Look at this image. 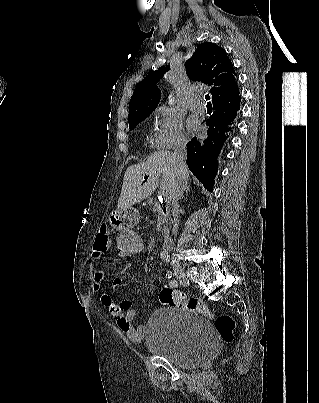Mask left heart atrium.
Returning <instances> with one entry per match:
<instances>
[{"label":"left heart atrium","instance_id":"left-heart-atrium-1","mask_svg":"<svg viewBox=\"0 0 319 403\" xmlns=\"http://www.w3.org/2000/svg\"><path fill=\"white\" fill-rule=\"evenodd\" d=\"M188 129L191 133H196L199 131V127L197 125V123L193 120H190L188 123Z\"/></svg>","mask_w":319,"mask_h":403}]
</instances>
